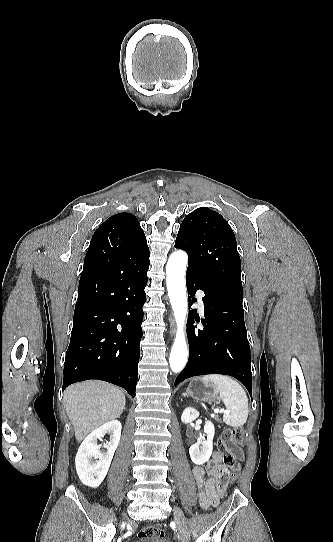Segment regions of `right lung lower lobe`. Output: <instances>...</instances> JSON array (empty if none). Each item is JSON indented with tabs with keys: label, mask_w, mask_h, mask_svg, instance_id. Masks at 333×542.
Masks as SVG:
<instances>
[{
	"label": "right lung lower lobe",
	"mask_w": 333,
	"mask_h": 542,
	"mask_svg": "<svg viewBox=\"0 0 333 542\" xmlns=\"http://www.w3.org/2000/svg\"><path fill=\"white\" fill-rule=\"evenodd\" d=\"M149 248L87 252L64 363L63 390L99 379L135 397Z\"/></svg>",
	"instance_id": "right-lung-lower-lobe-1"
}]
</instances>
